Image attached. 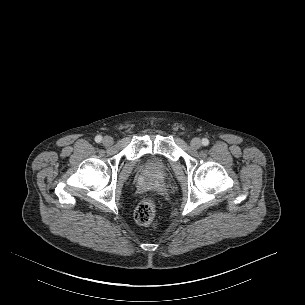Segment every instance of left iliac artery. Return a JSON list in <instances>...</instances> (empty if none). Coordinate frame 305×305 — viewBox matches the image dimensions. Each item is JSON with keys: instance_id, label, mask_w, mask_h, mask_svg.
<instances>
[{"instance_id": "obj_1", "label": "left iliac artery", "mask_w": 305, "mask_h": 305, "mask_svg": "<svg viewBox=\"0 0 305 305\" xmlns=\"http://www.w3.org/2000/svg\"><path fill=\"white\" fill-rule=\"evenodd\" d=\"M202 144H203L204 146H207V145L209 144V140H208L207 138H203V139H202Z\"/></svg>"}]
</instances>
